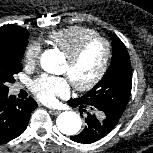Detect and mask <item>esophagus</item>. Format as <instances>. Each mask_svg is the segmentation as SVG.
Returning a JSON list of instances; mask_svg holds the SVG:
<instances>
[{"mask_svg":"<svg viewBox=\"0 0 153 153\" xmlns=\"http://www.w3.org/2000/svg\"><path fill=\"white\" fill-rule=\"evenodd\" d=\"M61 111L60 110H56V109H50V113L52 115H58Z\"/></svg>","mask_w":153,"mask_h":153,"instance_id":"obj_1","label":"esophagus"}]
</instances>
